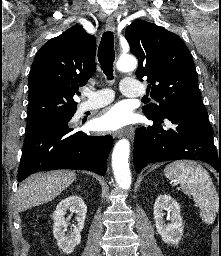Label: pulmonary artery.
Instances as JSON below:
<instances>
[{"instance_id":"obj_1","label":"pulmonary artery","mask_w":221,"mask_h":256,"mask_svg":"<svg viewBox=\"0 0 221 256\" xmlns=\"http://www.w3.org/2000/svg\"><path fill=\"white\" fill-rule=\"evenodd\" d=\"M121 92L127 97L142 96L144 91L140 82L132 78H125L121 82ZM87 101L81 103L77 109V115L90 110L100 108L113 99V93L108 89L86 92Z\"/></svg>"}]
</instances>
